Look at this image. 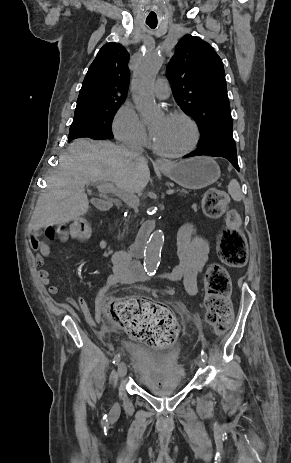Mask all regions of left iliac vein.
Wrapping results in <instances>:
<instances>
[{"mask_svg": "<svg viewBox=\"0 0 291 463\" xmlns=\"http://www.w3.org/2000/svg\"><path fill=\"white\" fill-rule=\"evenodd\" d=\"M198 366L199 367H204L205 366V362L202 361L201 357L198 359Z\"/></svg>", "mask_w": 291, "mask_h": 463, "instance_id": "obj_1", "label": "left iliac vein"}]
</instances>
